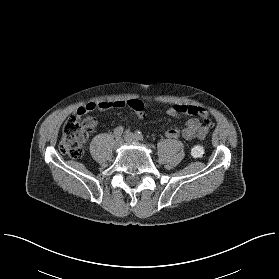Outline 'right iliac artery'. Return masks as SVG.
<instances>
[{
	"label": "right iliac artery",
	"instance_id": "obj_1",
	"mask_svg": "<svg viewBox=\"0 0 279 279\" xmlns=\"http://www.w3.org/2000/svg\"><path fill=\"white\" fill-rule=\"evenodd\" d=\"M123 130H124V128L122 126H119V127L115 128V130H114V137L116 139L120 138L122 133H123Z\"/></svg>",
	"mask_w": 279,
	"mask_h": 279
}]
</instances>
